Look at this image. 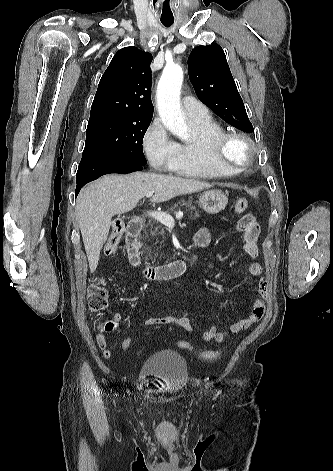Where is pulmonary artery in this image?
Instances as JSON below:
<instances>
[{"label":"pulmonary artery","mask_w":333,"mask_h":471,"mask_svg":"<svg viewBox=\"0 0 333 471\" xmlns=\"http://www.w3.org/2000/svg\"><path fill=\"white\" fill-rule=\"evenodd\" d=\"M182 105L188 119H198L208 114L207 107L194 97L185 96Z\"/></svg>","instance_id":"1"}]
</instances>
